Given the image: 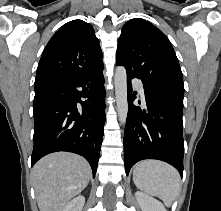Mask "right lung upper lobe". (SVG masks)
Returning <instances> with one entry per match:
<instances>
[{
	"instance_id": "right-lung-upper-lobe-1",
	"label": "right lung upper lobe",
	"mask_w": 221,
	"mask_h": 211,
	"mask_svg": "<svg viewBox=\"0 0 221 211\" xmlns=\"http://www.w3.org/2000/svg\"><path fill=\"white\" fill-rule=\"evenodd\" d=\"M94 29L82 20L63 25L45 47L37 68L35 91L103 69Z\"/></svg>"
}]
</instances>
